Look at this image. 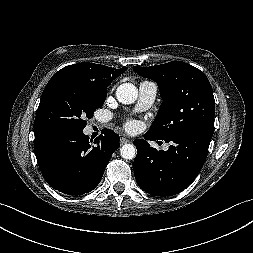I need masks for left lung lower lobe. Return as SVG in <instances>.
<instances>
[{"mask_svg":"<svg viewBox=\"0 0 253 253\" xmlns=\"http://www.w3.org/2000/svg\"><path fill=\"white\" fill-rule=\"evenodd\" d=\"M212 135L204 131L179 134L164 140L172 143L167 151L151 147L146 140L161 139L148 132L144 134L145 140L136 139L137 155L133 168L139 187L162 197L183 191L202 169Z\"/></svg>","mask_w":253,"mask_h":253,"instance_id":"left-lung-lower-lobe-1","label":"left lung lower lobe"}]
</instances>
